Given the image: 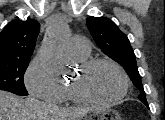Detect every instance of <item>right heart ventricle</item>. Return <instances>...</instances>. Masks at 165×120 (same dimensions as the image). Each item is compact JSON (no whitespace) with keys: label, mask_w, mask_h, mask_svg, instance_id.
<instances>
[{"label":"right heart ventricle","mask_w":165,"mask_h":120,"mask_svg":"<svg viewBox=\"0 0 165 120\" xmlns=\"http://www.w3.org/2000/svg\"><path fill=\"white\" fill-rule=\"evenodd\" d=\"M84 59H76V60L83 61ZM62 101H72V102L79 101L76 98V96L74 95V93H73V91L71 89V84H67V85L63 86V98H62Z\"/></svg>","instance_id":"1"}]
</instances>
